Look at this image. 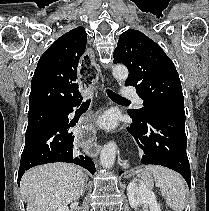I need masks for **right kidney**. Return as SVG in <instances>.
I'll return each instance as SVG.
<instances>
[{
    "label": "right kidney",
    "mask_w": 209,
    "mask_h": 211,
    "mask_svg": "<svg viewBox=\"0 0 209 211\" xmlns=\"http://www.w3.org/2000/svg\"><path fill=\"white\" fill-rule=\"evenodd\" d=\"M57 211H69V209L67 206H62V207L58 208Z\"/></svg>",
    "instance_id": "right-kidney-1"
}]
</instances>
